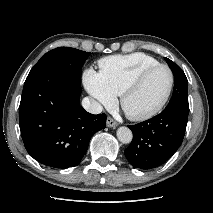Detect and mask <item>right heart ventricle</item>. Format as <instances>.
I'll return each instance as SVG.
<instances>
[{
  "mask_svg": "<svg viewBox=\"0 0 213 213\" xmlns=\"http://www.w3.org/2000/svg\"><path fill=\"white\" fill-rule=\"evenodd\" d=\"M156 64V59L144 53L114 55L99 60V73L106 87L116 96L140 71Z\"/></svg>",
  "mask_w": 213,
  "mask_h": 213,
  "instance_id": "obj_1",
  "label": "right heart ventricle"
}]
</instances>
